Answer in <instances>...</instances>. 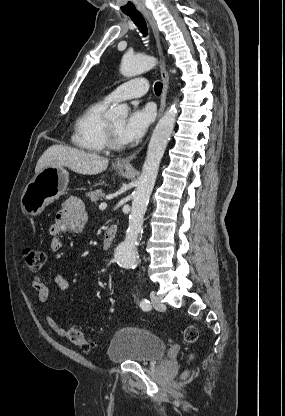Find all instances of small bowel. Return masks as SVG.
Listing matches in <instances>:
<instances>
[{"mask_svg": "<svg viewBox=\"0 0 285 416\" xmlns=\"http://www.w3.org/2000/svg\"><path fill=\"white\" fill-rule=\"evenodd\" d=\"M87 222V214L82 201L77 197L68 199L58 212L55 221L49 227V249L51 252L57 253L62 249V241L60 236L65 234L79 233L83 230ZM54 284L59 292L65 291L69 283L62 275L54 277ZM36 290L40 302H48L52 296V289L45 284L40 278H36L32 284ZM47 325L51 330L59 335L66 336V329L58 324L50 315L45 316Z\"/></svg>", "mask_w": 285, "mask_h": 416, "instance_id": "1", "label": "small bowel"}]
</instances>
